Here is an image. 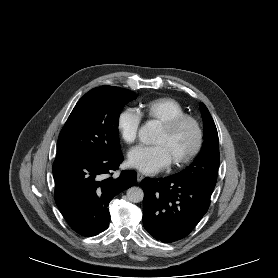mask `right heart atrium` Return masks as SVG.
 <instances>
[{
  "label": "right heart atrium",
  "mask_w": 278,
  "mask_h": 278,
  "mask_svg": "<svg viewBox=\"0 0 278 278\" xmlns=\"http://www.w3.org/2000/svg\"><path fill=\"white\" fill-rule=\"evenodd\" d=\"M141 124V116L134 108H124L117 116L116 127L122 140L127 143H133L138 135Z\"/></svg>",
  "instance_id": "1"
}]
</instances>
